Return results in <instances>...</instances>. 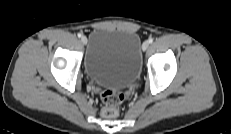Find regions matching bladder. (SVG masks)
Returning a JSON list of instances; mask_svg holds the SVG:
<instances>
[{"label": "bladder", "instance_id": "1", "mask_svg": "<svg viewBox=\"0 0 231 134\" xmlns=\"http://www.w3.org/2000/svg\"><path fill=\"white\" fill-rule=\"evenodd\" d=\"M142 68L141 39L128 30L95 29L84 56V70L94 83L108 88L131 86Z\"/></svg>", "mask_w": 231, "mask_h": 134}]
</instances>
